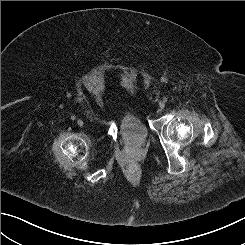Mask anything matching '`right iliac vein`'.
Returning <instances> with one entry per match:
<instances>
[{"label":"right iliac vein","instance_id":"1","mask_svg":"<svg viewBox=\"0 0 245 245\" xmlns=\"http://www.w3.org/2000/svg\"><path fill=\"white\" fill-rule=\"evenodd\" d=\"M77 124H78V126H82L83 125V121L81 119H78L77 120Z\"/></svg>","mask_w":245,"mask_h":245}]
</instances>
